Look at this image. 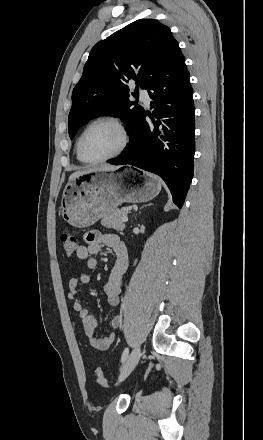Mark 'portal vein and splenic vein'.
I'll return each instance as SVG.
<instances>
[{"instance_id":"18ae733b","label":"portal vein and splenic vein","mask_w":263,"mask_h":440,"mask_svg":"<svg viewBox=\"0 0 263 440\" xmlns=\"http://www.w3.org/2000/svg\"><path fill=\"white\" fill-rule=\"evenodd\" d=\"M122 221H123V222H127V221H128V217H127V216H123V217H122Z\"/></svg>"}]
</instances>
